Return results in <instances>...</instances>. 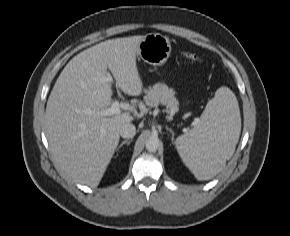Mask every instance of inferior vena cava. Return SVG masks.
<instances>
[{
    "mask_svg": "<svg viewBox=\"0 0 290 236\" xmlns=\"http://www.w3.org/2000/svg\"><path fill=\"white\" fill-rule=\"evenodd\" d=\"M119 133L123 138H133L136 134V128L133 124L126 123L121 126Z\"/></svg>",
    "mask_w": 290,
    "mask_h": 236,
    "instance_id": "inferior-vena-cava-1",
    "label": "inferior vena cava"
}]
</instances>
